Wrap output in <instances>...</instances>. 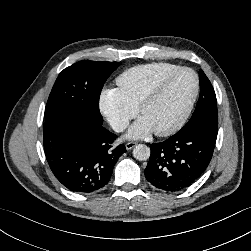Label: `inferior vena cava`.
I'll use <instances>...</instances> for the list:
<instances>
[{"mask_svg": "<svg viewBox=\"0 0 251 251\" xmlns=\"http://www.w3.org/2000/svg\"><path fill=\"white\" fill-rule=\"evenodd\" d=\"M128 126V122L125 120H116L111 123V127L116 132H122Z\"/></svg>", "mask_w": 251, "mask_h": 251, "instance_id": "obj_1", "label": "inferior vena cava"}]
</instances>
